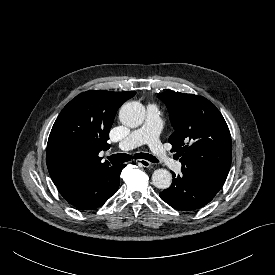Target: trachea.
<instances>
[{"label": "trachea", "mask_w": 275, "mask_h": 275, "mask_svg": "<svg viewBox=\"0 0 275 275\" xmlns=\"http://www.w3.org/2000/svg\"><path fill=\"white\" fill-rule=\"evenodd\" d=\"M133 158L134 159H145V160H148L153 163L158 162V160L154 156H152L148 153H137L134 155ZM108 159L110 160V162L112 164H118V163L130 161L132 159V156L129 154H125V153H119V154H114V155L108 157Z\"/></svg>", "instance_id": "trachea-1"}]
</instances>
